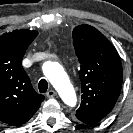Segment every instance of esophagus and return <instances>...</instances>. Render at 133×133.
I'll list each match as a JSON object with an SVG mask.
<instances>
[{
    "instance_id": "esophagus-1",
    "label": "esophagus",
    "mask_w": 133,
    "mask_h": 133,
    "mask_svg": "<svg viewBox=\"0 0 133 133\" xmlns=\"http://www.w3.org/2000/svg\"><path fill=\"white\" fill-rule=\"evenodd\" d=\"M47 97L51 98V97H54L56 95V91L54 90H49L47 93H46Z\"/></svg>"
}]
</instances>
